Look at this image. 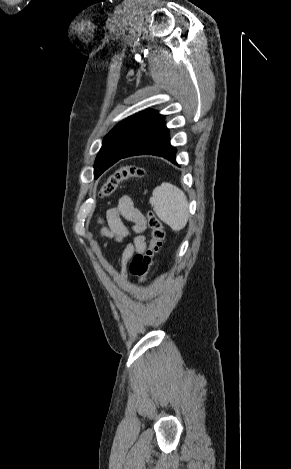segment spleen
Masks as SVG:
<instances>
[{"label": "spleen", "instance_id": "spleen-1", "mask_svg": "<svg viewBox=\"0 0 291 469\" xmlns=\"http://www.w3.org/2000/svg\"><path fill=\"white\" fill-rule=\"evenodd\" d=\"M161 221L174 231L182 230L188 221V201L182 190L173 184L163 182L153 190L149 200Z\"/></svg>", "mask_w": 291, "mask_h": 469}]
</instances>
